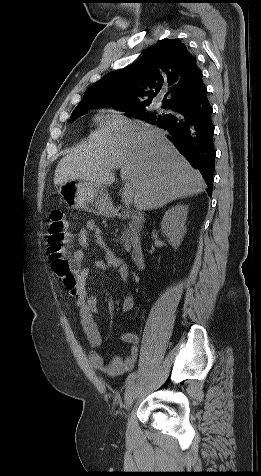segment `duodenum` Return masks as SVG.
Returning <instances> with one entry per match:
<instances>
[{
	"instance_id": "1",
	"label": "duodenum",
	"mask_w": 261,
	"mask_h": 476,
	"mask_svg": "<svg viewBox=\"0 0 261 476\" xmlns=\"http://www.w3.org/2000/svg\"><path fill=\"white\" fill-rule=\"evenodd\" d=\"M115 215L120 219H131L138 225L142 223V217L139 214L131 213L123 208L117 209ZM131 259L137 269H143L145 267V254L140 245L133 247L131 251Z\"/></svg>"
}]
</instances>
